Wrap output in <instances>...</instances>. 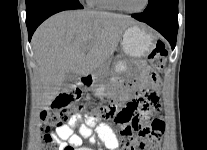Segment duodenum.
I'll use <instances>...</instances> for the list:
<instances>
[{
	"label": "duodenum",
	"instance_id": "obj_1",
	"mask_svg": "<svg viewBox=\"0 0 207 150\" xmlns=\"http://www.w3.org/2000/svg\"><path fill=\"white\" fill-rule=\"evenodd\" d=\"M93 82L91 75L85 74L82 75L78 81L79 86H89Z\"/></svg>",
	"mask_w": 207,
	"mask_h": 150
}]
</instances>
